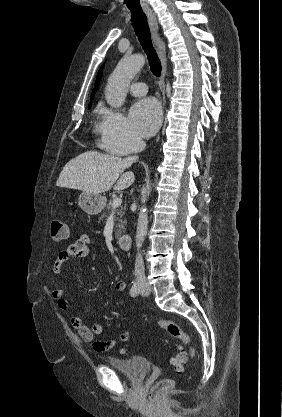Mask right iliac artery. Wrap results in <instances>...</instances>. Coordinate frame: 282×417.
Returning a JSON list of instances; mask_svg holds the SVG:
<instances>
[{"label": "right iliac artery", "instance_id": "1", "mask_svg": "<svg viewBox=\"0 0 282 417\" xmlns=\"http://www.w3.org/2000/svg\"><path fill=\"white\" fill-rule=\"evenodd\" d=\"M138 293H139V285H138L137 282H133L132 286H131V289H130V295L132 297H135V296L138 295Z\"/></svg>", "mask_w": 282, "mask_h": 417}]
</instances>
